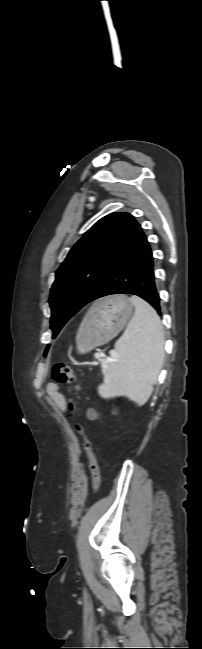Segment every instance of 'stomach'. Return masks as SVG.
I'll use <instances>...</instances> for the list:
<instances>
[{"label": "stomach", "instance_id": "stomach-1", "mask_svg": "<svg viewBox=\"0 0 202 649\" xmlns=\"http://www.w3.org/2000/svg\"><path fill=\"white\" fill-rule=\"evenodd\" d=\"M132 315L133 304L126 295H115L97 301L79 327V350L89 352L105 344L123 329Z\"/></svg>", "mask_w": 202, "mask_h": 649}]
</instances>
